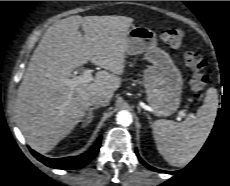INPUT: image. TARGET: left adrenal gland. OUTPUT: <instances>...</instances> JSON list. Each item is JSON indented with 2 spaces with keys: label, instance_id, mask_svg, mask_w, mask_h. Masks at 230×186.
I'll list each match as a JSON object with an SVG mask.
<instances>
[{
  "label": "left adrenal gland",
  "instance_id": "a2214340",
  "mask_svg": "<svg viewBox=\"0 0 230 186\" xmlns=\"http://www.w3.org/2000/svg\"><path fill=\"white\" fill-rule=\"evenodd\" d=\"M146 114V113H145ZM147 115V118L149 119V121L151 120V118H150V116L148 115V114H146Z\"/></svg>",
  "mask_w": 230,
  "mask_h": 186
}]
</instances>
